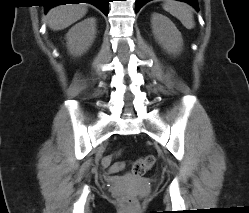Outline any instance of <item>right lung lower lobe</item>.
Returning a JSON list of instances; mask_svg holds the SVG:
<instances>
[{
	"label": "right lung lower lobe",
	"mask_w": 249,
	"mask_h": 213,
	"mask_svg": "<svg viewBox=\"0 0 249 213\" xmlns=\"http://www.w3.org/2000/svg\"><path fill=\"white\" fill-rule=\"evenodd\" d=\"M91 3L98 7L105 15H108V2L109 0H50L47 5H45V10L48 11L51 7L60 4H79V3Z\"/></svg>",
	"instance_id": "right-lung-lower-lobe-1"
}]
</instances>
